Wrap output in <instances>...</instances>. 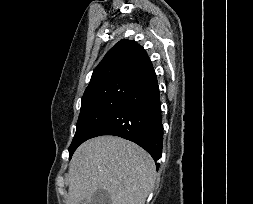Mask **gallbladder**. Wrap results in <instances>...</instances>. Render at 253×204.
I'll list each match as a JSON object with an SVG mask.
<instances>
[{
    "instance_id": "bac80fb5",
    "label": "gallbladder",
    "mask_w": 253,
    "mask_h": 204,
    "mask_svg": "<svg viewBox=\"0 0 253 204\" xmlns=\"http://www.w3.org/2000/svg\"><path fill=\"white\" fill-rule=\"evenodd\" d=\"M79 204H88L86 201H81ZM90 204H112L111 198L107 191L99 189L91 196Z\"/></svg>"
}]
</instances>
